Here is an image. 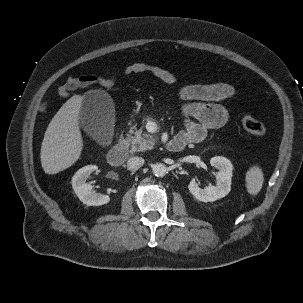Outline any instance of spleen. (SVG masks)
<instances>
[{"label": "spleen", "mask_w": 303, "mask_h": 303, "mask_svg": "<svg viewBox=\"0 0 303 303\" xmlns=\"http://www.w3.org/2000/svg\"><path fill=\"white\" fill-rule=\"evenodd\" d=\"M246 188L250 195H257L262 189L264 177L259 166H252L246 173Z\"/></svg>", "instance_id": "spleen-1"}]
</instances>
